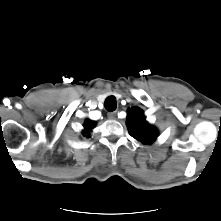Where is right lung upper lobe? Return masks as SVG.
I'll return each instance as SVG.
<instances>
[{
  "label": "right lung upper lobe",
  "instance_id": "cb5924a9",
  "mask_svg": "<svg viewBox=\"0 0 221 221\" xmlns=\"http://www.w3.org/2000/svg\"><path fill=\"white\" fill-rule=\"evenodd\" d=\"M95 122L87 120L84 124V131H83V135L85 136L87 133H90L91 129L95 126Z\"/></svg>",
  "mask_w": 221,
  "mask_h": 221
}]
</instances>
